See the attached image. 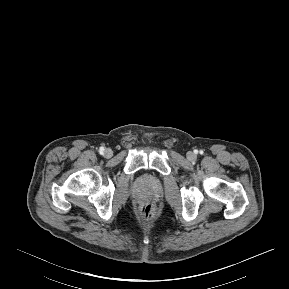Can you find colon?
<instances>
[{
	"label": "colon",
	"mask_w": 289,
	"mask_h": 289,
	"mask_svg": "<svg viewBox=\"0 0 289 289\" xmlns=\"http://www.w3.org/2000/svg\"><path fill=\"white\" fill-rule=\"evenodd\" d=\"M140 213L143 218L151 219L154 216V208L147 204L141 207Z\"/></svg>",
	"instance_id": "colon-1"
}]
</instances>
